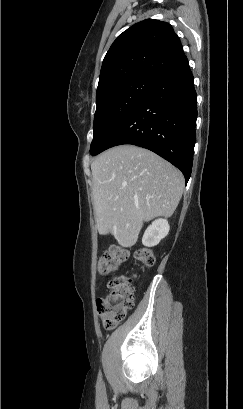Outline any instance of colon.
Returning <instances> with one entry per match:
<instances>
[{
	"instance_id": "5ec220e1",
	"label": "colon",
	"mask_w": 243,
	"mask_h": 409,
	"mask_svg": "<svg viewBox=\"0 0 243 409\" xmlns=\"http://www.w3.org/2000/svg\"><path fill=\"white\" fill-rule=\"evenodd\" d=\"M128 251L119 246H111L98 260V272L107 275L116 271L126 261ZM134 259L144 266L154 264L153 252L143 247L135 251ZM135 275H120L108 283L110 294L100 297L97 309L105 330H113L123 320L127 311L133 306Z\"/></svg>"
}]
</instances>
